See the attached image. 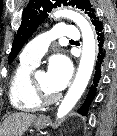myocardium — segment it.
<instances>
[{
  "instance_id": "myocardium-1",
  "label": "myocardium",
  "mask_w": 117,
  "mask_h": 136,
  "mask_svg": "<svg viewBox=\"0 0 117 136\" xmlns=\"http://www.w3.org/2000/svg\"><path fill=\"white\" fill-rule=\"evenodd\" d=\"M36 75H33L31 77V83H32V89H33V94L37 102L41 105H48L52 104L56 101H58L61 97V94L57 93L55 95L49 96L46 95L43 90L38 86L37 81H36Z\"/></svg>"
}]
</instances>
